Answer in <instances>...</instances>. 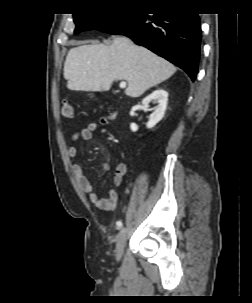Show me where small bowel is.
Instances as JSON below:
<instances>
[{
    "label": "small bowel",
    "mask_w": 252,
    "mask_h": 303,
    "mask_svg": "<svg viewBox=\"0 0 252 303\" xmlns=\"http://www.w3.org/2000/svg\"><path fill=\"white\" fill-rule=\"evenodd\" d=\"M103 124L99 122L89 123L87 127L76 131L72 136L73 144L68 147V156L71 161V172L74 175L79 188L89 195V200L98 209L103 211H113L118 204V192L115 189H111L108 193V198H101L93 190V185L84 174L81 165L77 162L76 157L78 154V148L76 142L88 141L92 138L94 132L100 130ZM104 170L109 169V163L104 162L102 165ZM127 171V167L124 163H120L114 172L113 182L115 186H121L123 183V177Z\"/></svg>",
    "instance_id": "obj_1"
}]
</instances>
